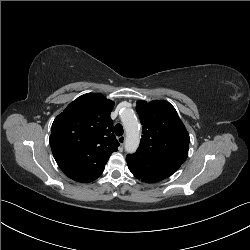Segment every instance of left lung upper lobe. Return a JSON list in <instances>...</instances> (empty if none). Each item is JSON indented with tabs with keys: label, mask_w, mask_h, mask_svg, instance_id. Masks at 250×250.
<instances>
[{
	"label": "left lung upper lobe",
	"mask_w": 250,
	"mask_h": 250,
	"mask_svg": "<svg viewBox=\"0 0 250 250\" xmlns=\"http://www.w3.org/2000/svg\"><path fill=\"white\" fill-rule=\"evenodd\" d=\"M142 138L137 150L158 167L175 172L188 156L189 134L175 108L167 101H138Z\"/></svg>",
	"instance_id": "obj_1"
}]
</instances>
